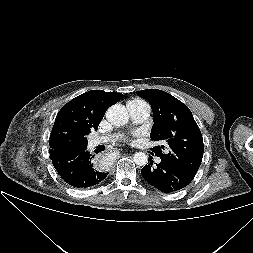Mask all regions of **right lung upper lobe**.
I'll return each mask as SVG.
<instances>
[{
  "instance_id": "1",
  "label": "right lung upper lobe",
  "mask_w": 253,
  "mask_h": 253,
  "mask_svg": "<svg viewBox=\"0 0 253 253\" xmlns=\"http://www.w3.org/2000/svg\"><path fill=\"white\" fill-rule=\"evenodd\" d=\"M123 94L91 90L77 96L62 107L50 135V159H70L86 151V135L97 130L111 105Z\"/></svg>"
}]
</instances>
